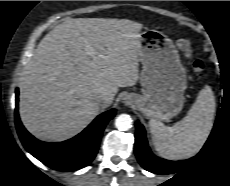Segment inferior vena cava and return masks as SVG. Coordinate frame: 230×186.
<instances>
[{
	"label": "inferior vena cava",
	"mask_w": 230,
	"mask_h": 186,
	"mask_svg": "<svg viewBox=\"0 0 230 186\" xmlns=\"http://www.w3.org/2000/svg\"><path fill=\"white\" fill-rule=\"evenodd\" d=\"M97 102L100 104V105H104V104H108L110 102V99L107 97V96H99L97 98Z\"/></svg>",
	"instance_id": "1"
}]
</instances>
